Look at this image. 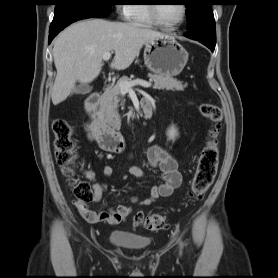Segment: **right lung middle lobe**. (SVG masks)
Wrapping results in <instances>:
<instances>
[{"label": "right lung middle lobe", "mask_w": 278, "mask_h": 278, "mask_svg": "<svg viewBox=\"0 0 278 278\" xmlns=\"http://www.w3.org/2000/svg\"><path fill=\"white\" fill-rule=\"evenodd\" d=\"M55 13L52 24L72 15L107 17L111 13L112 0H54Z\"/></svg>", "instance_id": "dd1d6c3e"}]
</instances>
